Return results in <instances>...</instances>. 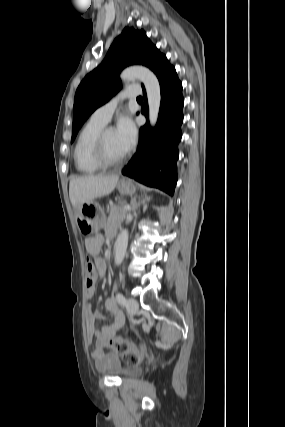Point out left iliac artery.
Masks as SVG:
<instances>
[{"mask_svg": "<svg viewBox=\"0 0 285 427\" xmlns=\"http://www.w3.org/2000/svg\"><path fill=\"white\" fill-rule=\"evenodd\" d=\"M116 299H117V301H118L121 305H123V306H125V305L127 304L126 298H125V297H124V295H123V294H121V293H118V294L116 295Z\"/></svg>", "mask_w": 285, "mask_h": 427, "instance_id": "obj_1", "label": "left iliac artery"}]
</instances>
